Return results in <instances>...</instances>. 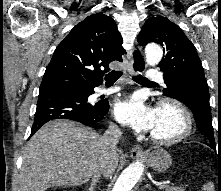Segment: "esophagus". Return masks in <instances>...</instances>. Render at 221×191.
<instances>
[{"label": "esophagus", "instance_id": "esophagus-1", "mask_svg": "<svg viewBox=\"0 0 221 191\" xmlns=\"http://www.w3.org/2000/svg\"><path fill=\"white\" fill-rule=\"evenodd\" d=\"M130 57L131 68L129 69V73L131 75L143 73L145 70V58L142 50L139 47L133 48L130 52ZM130 153L133 158H136L143 155V150L141 146L135 145Z\"/></svg>", "mask_w": 221, "mask_h": 191}]
</instances>
